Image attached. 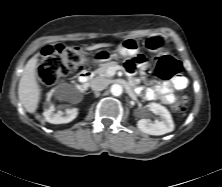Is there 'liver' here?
Returning a JSON list of instances; mask_svg holds the SVG:
<instances>
[{
    "instance_id": "1",
    "label": "liver",
    "mask_w": 222,
    "mask_h": 187,
    "mask_svg": "<svg viewBox=\"0 0 222 187\" xmlns=\"http://www.w3.org/2000/svg\"><path fill=\"white\" fill-rule=\"evenodd\" d=\"M107 46L106 44H97L88 47V50ZM38 55L33 56L25 65L22 77L18 86V96L25 110L29 113H34L38 107L40 99V88L36 80V65Z\"/></svg>"
}]
</instances>
